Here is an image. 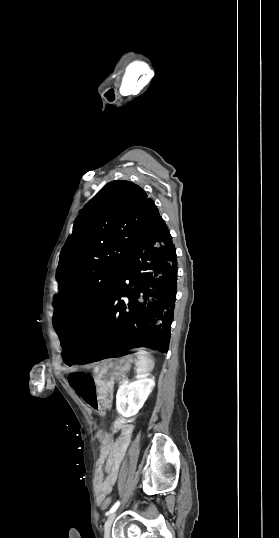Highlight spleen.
<instances>
[{
  "mask_svg": "<svg viewBox=\"0 0 279 538\" xmlns=\"http://www.w3.org/2000/svg\"><path fill=\"white\" fill-rule=\"evenodd\" d=\"M135 356L137 358L136 366L138 374H147V372H152L155 364L149 352H145L144 348H138Z\"/></svg>",
  "mask_w": 279,
  "mask_h": 538,
  "instance_id": "1",
  "label": "spleen"
}]
</instances>
